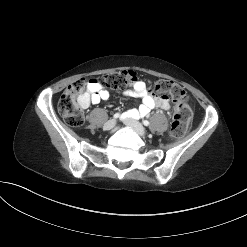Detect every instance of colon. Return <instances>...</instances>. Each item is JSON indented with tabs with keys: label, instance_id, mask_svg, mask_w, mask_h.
<instances>
[{
	"label": "colon",
	"instance_id": "obj_1",
	"mask_svg": "<svg viewBox=\"0 0 247 247\" xmlns=\"http://www.w3.org/2000/svg\"><path fill=\"white\" fill-rule=\"evenodd\" d=\"M134 75L132 71H119L106 74L95 81L103 87L118 90L125 87ZM85 88L86 81L84 79L78 80L67 87L59 100L58 111L71 127H79L84 123ZM152 90L156 94H168L174 99L175 112L170 134L173 138L182 137L186 133L191 120V110L186 103V91L179 84L167 79L156 81Z\"/></svg>",
	"mask_w": 247,
	"mask_h": 247
}]
</instances>
